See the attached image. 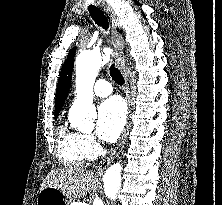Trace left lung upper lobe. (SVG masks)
Instances as JSON below:
<instances>
[{
	"label": "left lung upper lobe",
	"mask_w": 222,
	"mask_h": 205,
	"mask_svg": "<svg viewBox=\"0 0 222 205\" xmlns=\"http://www.w3.org/2000/svg\"><path fill=\"white\" fill-rule=\"evenodd\" d=\"M76 47L72 48L69 51V54L67 56V60L65 61L60 77L58 86L56 89V98H55V119L57 118L62 106L64 105L70 85H71V78H72V71H73V63H74V56H75Z\"/></svg>",
	"instance_id": "5c2ea615"
}]
</instances>
